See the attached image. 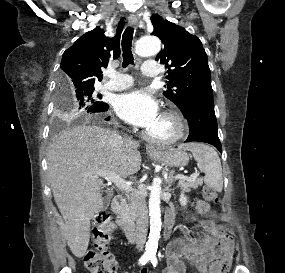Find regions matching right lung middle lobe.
<instances>
[{"instance_id":"right-lung-middle-lobe-1","label":"right lung middle lobe","mask_w":285,"mask_h":273,"mask_svg":"<svg viewBox=\"0 0 285 273\" xmlns=\"http://www.w3.org/2000/svg\"><path fill=\"white\" fill-rule=\"evenodd\" d=\"M94 90V87L84 86L71 88L67 80L60 76L57 91L60 116L71 121L97 113L104 102L100 101L101 95Z\"/></svg>"}]
</instances>
